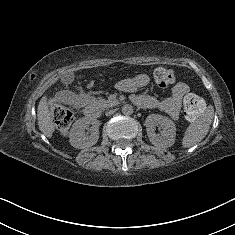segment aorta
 I'll use <instances>...</instances> for the list:
<instances>
[{
    "instance_id": "obj_1",
    "label": "aorta",
    "mask_w": 235,
    "mask_h": 235,
    "mask_svg": "<svg viewBox=\"0 0 235 235\" xmlns=\"http://www.w3.org/2000/svg\"><path fill=\"white\" fill-rule=\"evenodd\" d=\"M133 106L132 105H130V104H125V105H123L122 106V113L124 114V115H132V113H133Z\"/></svg>"
}]
</instances>
